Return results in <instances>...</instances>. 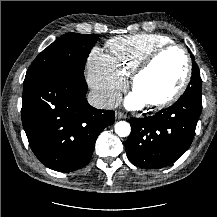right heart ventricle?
Segmentation results:
<instances>
[{
    "label": "right heart ventricle",
    "instance_id": "obj_1",
    "mask_svg": "<svg viewBox=\"0 0 217 217\" xmlns=\"http://www.w3.org/2000/svg\"><path fill=\"white\" fill-rule=\"evenodd\" d=\"M170 43L171 38L163 34L119 36L107 41V55L113 68L121 76L128 78L152 51Z\"/></svg>",
    "mask_w": 217,
    "mask_h": 217
}]
</instances>
